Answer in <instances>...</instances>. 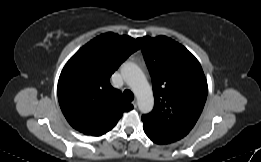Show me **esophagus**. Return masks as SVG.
Returning <instances> with one entry per match:
<instances>
[{
  "label": "esophagus",
  "mask_w": 261,
  "mask_h": 162,
  "mask_svg": "<svg viewBox=\"0 0 261 162\" xmlns=\"http://www.w3.org/2000/svg\"><path fill=\"white\" fill-rule=\"evenodd\" d=\"M132 105L134 106V108H137V101L134 100V101L132 102Z\"/></svg>",
  "instance_id": "1"
}]
</instances>
